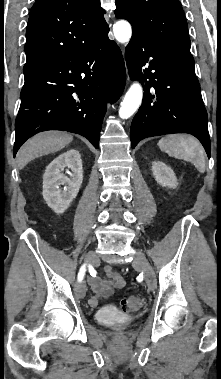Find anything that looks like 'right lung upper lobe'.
Instances as JSON below:
<instances>
[{"instance_id":"1","label":"right lung upper lobe","mask_w":221,"mask_h":379,"mask_svg":"<svg viewBox=\"0 0 221 379\" xmlns=\"http://www.w3.org/2000/svg\"><path fill=\"white\" fill-rule=\"evenodd\" d=\"M99 0H36L26 31L23 71L79 51L109 31Z\"/></svg>"}]
</instances>
